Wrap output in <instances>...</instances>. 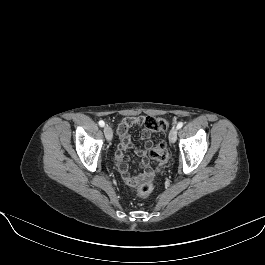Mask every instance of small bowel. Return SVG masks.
Wrapping results in <instances>:
<instances>
[{"label":"small bowel","mask_w":265,"mask_h":265,"mask_svg":"<svg viewBox=\"0 0 265 265\" xmlns=\"http://www.w3.org/2000/svg\"><path fill=\"white\" fill-rule=\"evenodd\" d=\"M142 120L143 117H127L119 123L117 128V133L120 138V144L116 152L115 159L121 176L127 184H135L137 181V178L130 174L128 163L125 157L127 151L134 149L128 131L133 126L143 125ZM141 139L144 142V146L143 148L135 149V152L139 156H144L153 146L150 130L144 128L141 132Z\"/></svg>","instance_id":"small-bowel-1"}]
</instances>
